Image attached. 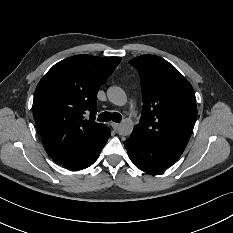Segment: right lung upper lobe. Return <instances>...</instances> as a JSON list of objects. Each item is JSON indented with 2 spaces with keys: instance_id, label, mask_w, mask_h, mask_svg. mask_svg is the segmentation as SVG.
<instances>
[{
  "instance_id": "obj_1",
  "label": "right lung upper lobe",
  "mask_w": 233,
  "mask_h": 233,
  "mask_svg": "<svg viewBox=\"0 0 233 233\" xmlns=\"http://www.w3.org/2000/svg\"><path fill=\"white\" fill-rule=\"evenodd\" d=\"M120 57L75 55L55 64L40 80L33 117L48 155L57 163L74 161L99 145L110 132L95 122L97 93ZM89 114V119L84 115Z\"/></svg>"
}]
</instances>
